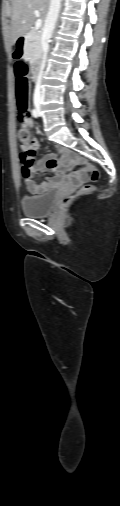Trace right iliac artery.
Returning <instances> with one entry per match:
<instances>
[{
	"instance_id": "1",
	"label": "right iliac artery",
	"mask_w": 120,
	"mask_h": 506,
	"mask_svg": "<svg viewBox=\"0 0 120 506\" xmlns=\"http://www.w3.org/2000/svg\"><path fill=\"white\" fill-rule=\"evenodd\" d=\"M32 115H33V117H35V118H37V117H38V111H37V109H33V110H32Z\"/></svg>"
}]
</instances>
